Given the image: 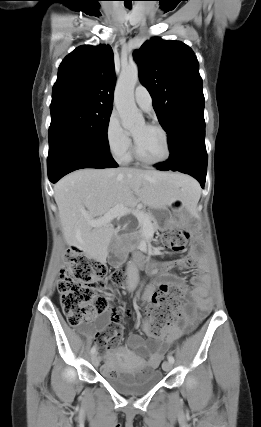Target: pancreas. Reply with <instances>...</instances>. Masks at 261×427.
I'll use <instances>...</instances> for the list:
<instances>
[{
  "instance_id": "obj_1",
  "label": "pancreas",
  "mask_w": 261,
  "mask_h": 427,
  "mask_svg": "<svg viewBox=\"0 0 261 427\" xmlns=\"http://www.w3.org/2000/svg\"><path fill=\"white\" fill-rule=\"evenodd\" d=\"M142 212H144L145 214H146V216H147V220H148V222H149V227H150V229H151V231H155V229H156V226L154 225V224H152V221H153V217H152V215L150 214V213H148V212H145V211H142ZM141 224V223H140ZM141 225H143V224H141ZM142 234H143V227L141 226V228L139 229V235H138V237L137 238H141L142 237Z\"/></svg>"
}]
</instances>
